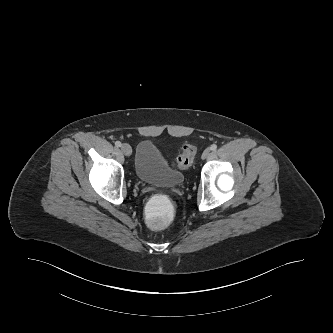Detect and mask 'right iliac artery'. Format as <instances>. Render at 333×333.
<instances>
[{
	"label": "right iliac artery",
	"instance_id": "1",
	"mask_svg": "<svg viewBox=\"0 0 333 333\" xmlns=\"http://www.w3.org/2000/svg\"><path fill=\"white\" fill-rule=\"evenodd\" d=\"M115 145H116V147H121L122 144H121L120 141H116V142H115Z\"/></svg>",
	"mask_w": 333,
	"mask_h": 333
}]
</instances>
